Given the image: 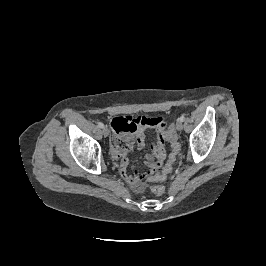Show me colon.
<instances>
[{
    "mask_svg": "<svg viewBox=\"0 0 266 266\" xmlns=\"http://www.w3.org/2000/svg\"><path fill=\"white\" fill-rule=\"evenodd\" d=\"M168 141L171 145V153L168 157V160L160 173H148L147 179L151 181H162L166 179L168 174L172 171L173 166L177 160V157L180 152V145L177 141L176 135L172 129L168 130ZM152 192L157 195L161 196L165 193V187L163 185H155L151 188Z\"/></svg>",
    "mask_w": 266,
    "mask_h": 266,
    "instance_id": "5ec220e1",
    "label": "colon"
}]
</instances>
